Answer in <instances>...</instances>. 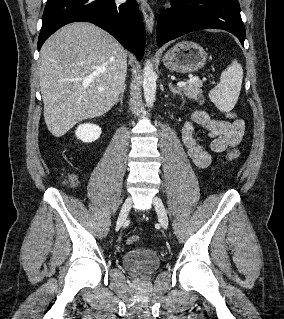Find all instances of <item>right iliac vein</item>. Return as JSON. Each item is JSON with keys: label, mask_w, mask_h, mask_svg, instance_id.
<instances>
[{"label": "right iliac vein", "mask_w": 284, "mask_h": 319, "mask_svg": "<svg viewBox=\"0 0 284 319\" xmlns=\"http://www.w3.org/2000/svg\"><path fill=\"white\" fill-rule=\"evenodd\" d=\"M131 206H132V198L131 197H128L125 202L123 203L122 207H121V210H120V213H119V216H118V220H117V225L120 227L124 221L126 220L128 214H129V211L131 209Z\"/></svg>", "instance_id": "63e3f726"}]
</instances>
